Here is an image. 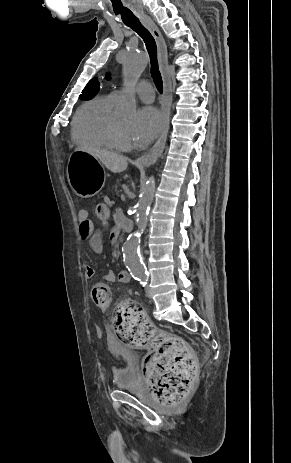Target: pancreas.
<instances>
[{
  "instance_id": "cf45deb5",
  "label": "pancreas",
  "mask_w": 291,
  "mask_h": 463,
  "mask_svg": "<svg viewBox=\"0 0 291 463\" xmlns=\"http://www.w3.org/2000/svg\"><path fill=\"white\" fill-rule=\"evenodd\" d=\"M121 191V184L119 181H116L115 183H110L108 186V192L113 195L119 196Z\"/></svg>"
}]
</instances>
